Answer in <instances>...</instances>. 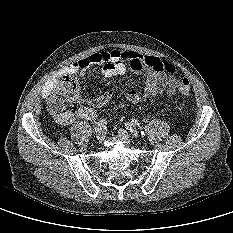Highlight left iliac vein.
I'll use <instances>...</instances> for the list:
<instances>
[{
	"mask_svg": "<svg viewBox=\"0 0 233 233\" xmlns=\"http://www.w3.org/2000/svg\"><path fill=\"white\" fill-rule=\"evenodd\" d=\"M131 133L134 138H137L139 136L138 131L136 129H132ZM118 136L124 141H130V135L127 133V131L123 129H120L118 131Z\"/></svg>",
	"mask_w": 233,
	"mask_h": 233,
	"instance_id": "4c4485c4",
	"label": "left iliac vein"
}]
</instances>
